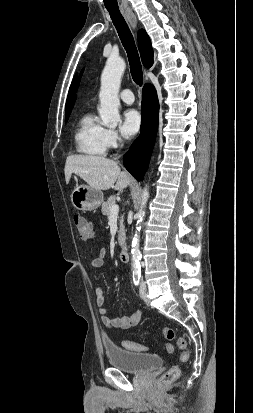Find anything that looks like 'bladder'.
Here are the masks:
<instances>
[{
  "instance_id": "1",
  "label": "bladder",
  "mask_w": 253,
  "mask_h": 413,
  "mask_svg": "<svg viewBox=\"0 0 253 413\" xmlns=\"http://www.w3.org/2000/svg\"><path fill=\"white\" fill-rule=\"evenodd\" d=\"M103 348L109 363L124 372L139 374L163 364L162 358L157 354L130 351L108 340L103 341Z\"/></svg>"
}]
</instances>
